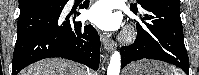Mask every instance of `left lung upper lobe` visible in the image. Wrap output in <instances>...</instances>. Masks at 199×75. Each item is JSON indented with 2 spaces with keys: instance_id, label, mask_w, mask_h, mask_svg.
Returning <instances> with one entry per match:
<instances>
[{
  "instance_id": "1",
  "label": "left lung upper lobe",
  "mask_w": 199,
  "mask_h": 75,
  "mask_svg": "<svg viewBox=\"0 0 199 75\" xmlns=\"http://www.w3.org/2000/svg\"><path fill=\"white\" fill-rule=\"evenodd\" d=\"M147 1H149V0H137V3L141 6L142 4L146 3ZM131 8H134L137 10L136 4H134V5L132 4Z\"/></svg>"
}]
</instances>
